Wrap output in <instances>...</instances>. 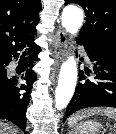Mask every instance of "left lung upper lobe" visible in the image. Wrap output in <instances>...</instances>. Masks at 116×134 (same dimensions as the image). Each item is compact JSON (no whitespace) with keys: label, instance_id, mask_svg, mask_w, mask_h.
I'll return each instance as SVG.
<instances>
[{"label":"left lung upper lobe","instance_id":"5c2ea615","mask_svg":"<svg viewBox=\"0 0 116 134\" xmlns=\"http://www.w3.org/2000/svg\"><path fill=\"white\" fill-rule=\"evenodd\" d=\"M79 4L86 15L77 42L92 41L116 49V0H65Z\"/></svg>","mask_w":116,"mask_h":134}]
</instances>
